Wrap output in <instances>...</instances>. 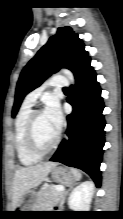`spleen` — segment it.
<instances>
[{
    "label": "spleen",
    "mask_w": 123,
    "mask_h": 219,
    "mask_svg": "<svg viewBox=\"0 0 123 219\" xmlns=\"http://www.w3.org/2000/svg\"><path fill=\"white\" fill-rule=\"evenodd\" d=\"M71 172L77 180H79L82 177L81 173L77 169H72Z\"/></svg>",
    "instance_id": "obj_1"
}]
</instances>
